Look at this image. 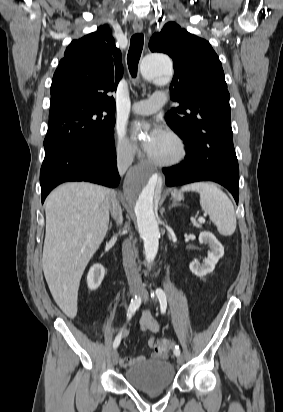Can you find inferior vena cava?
Wrapping results in <instances>:
<instances>
[{
  "instance_id": "obj_1",
  "label": "inferior vena cava",
  "mask_w": 283,
  "mask_h": 412,
  "mask_svg": "<svg viewBox=\"0 0 283 412\" xmlns=\"http://www.w3.org/2000/svg\"><path fill=\"white\" fill-rule=\"evenodd\" d=\"M134 156L130 147L117 151V168L120 175H123L133 162ZM110 211L117 225L123 223L122 210L116 198L115 192L110 196ZM123 266L130 287L141 286V279L138 273L134 252L130 240H125L122 245Z\"/></svg>"
}]
</instances>
